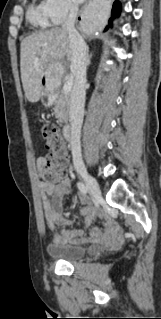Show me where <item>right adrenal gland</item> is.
I'll use <instances>...</instances> for the list:
<instances>
[{"label": "right adrenal gland", "instance_id": "obj_1", "mask_svg": "<svg viewBox=\"0 0 161 319\" xmlns=\"http://www.w3.org/2000/svg\"><path fill=\"white\" fill-rule=\"evenodd\" d=\"M91 58H92V54L88 53V47H87V66L91 64Z\"/></svg>", "mask_w": 161, "mask_h": 319}]
</instances>
